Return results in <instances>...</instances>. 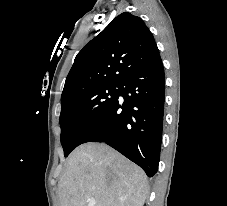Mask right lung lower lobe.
Returning <instances> with one entry per match:
<instances>
[{"instance_id": "98d812e1", "label": "right lung lower lobe", "mask_w": 227, "mask_h": 206, "mask_svg": "<svg viewBox=\"0 0 227 206\" xmlns=\"http://www.w3.org/2000/svg\"><path fill=\"white\" fill-rule=\"evenodd\" d=\"M120 87L124 103L117 99L83 143L105 142L152 177L158 169L164 112L165 77L160 56L129 73Z\"/></svg>"}]
</instances>
